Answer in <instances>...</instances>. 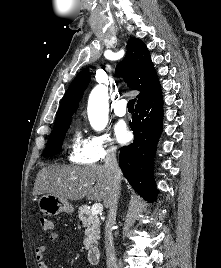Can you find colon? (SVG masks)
Instances as JSON below:
<instances>
[{"instance_id":"5ec220e1","label":"colon","mask_w":221,"mask_h":268,"mask_svg":"<svg viewBox=\"0 0 221 268\" xmlns=\"http://www.w3.org/2000/svg\"><path fill=\"white\" fill-rule=\"evenodd\" d=\"M41 226L45 231H49L53 228V223L48 217H41Z\"/></svg>"}]
</instances>
